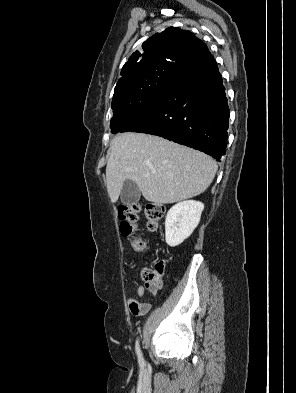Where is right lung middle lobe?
<instances>
[{
    "label": "right lung middle lobe",
    "mask_w": 296,
    "mask_h": 393,
    "mask_svg": "<svg viewBox=\"0 0 296 393\" xmlns=\"http://www.w3.org/2000/svg\"><path fill=\"white\" fill-rule=\"evenodd\" d=\"M172 80V77L154 78L134 98L112 104L114 116L110 123L111 132H120L126 124L144 112L155 101L161 90L169 85Z\"/></svg>",
    "instance_id": "obj_1"
}]
</instances>
